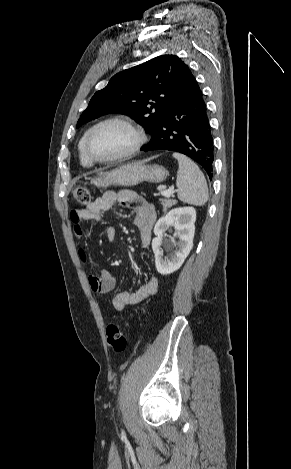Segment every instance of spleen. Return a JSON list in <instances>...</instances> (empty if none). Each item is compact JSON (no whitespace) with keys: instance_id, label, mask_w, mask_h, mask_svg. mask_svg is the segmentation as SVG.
Here are the masks:
<instances>
[{"instance_id":"3e777b00","label":"spleen","mask_w":291,"mask_h":469,"mask_svg":"<svg viewBox=\"0 0 291 469\" xmlns=\"http://www.w3.org/2000/svg\"><path fill=\"white\" fill-rule=\"evenodd\" d=\"M173 157L179 163L176 180L179 200L196 206L205 205L208 200V187L203 173L187 156L173 153Z\"/></svg>"}]
</instances>
